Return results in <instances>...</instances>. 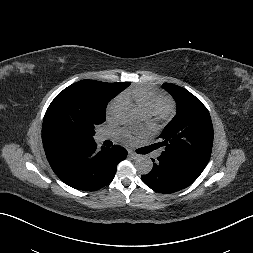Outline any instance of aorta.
<instances>
[{
  "mask_svg": "<svg viewBox=\"0 0 253 253\" xmlns=\"http://www.w3.org/2000/svg\"><path fill=\"white\" fill-rule=\"evenodd\" d=\"M138 117L139 110L133 104L126 103L119 109L118 118L122 123L134 122L138 119ZM135 167L139 173L148 174L153 168V162L149 157L143 155L136 160Z\"/></svg>",
  "mask_w": 253,
  "mask_h": 253,
  "instance_id": "obj_1",
  "label": "aorta"
}]
</instances>
